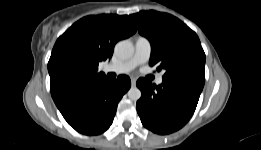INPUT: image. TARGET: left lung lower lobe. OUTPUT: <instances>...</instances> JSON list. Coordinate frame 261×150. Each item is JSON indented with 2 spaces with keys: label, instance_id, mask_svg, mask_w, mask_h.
<instances>
[{
  "label": "left lung lower lobe",
  "instance_id": "obj_1",
  "mask_svg": "<svg viewBox=\"0 0 261 150\" xmlns=\"http://www.w3.org/2000/svg\"><path fill=\"white\" fill-rule=\"evenodd\" d=\"M205 80L191 75L163 78L161 85L144 78L137 81L142 96L137 112L142 124L158 134H169L183 127L192 117Z\"/></svg>",
  "mask_w": 261,
  "mask_h": 150
}]
</instances>
